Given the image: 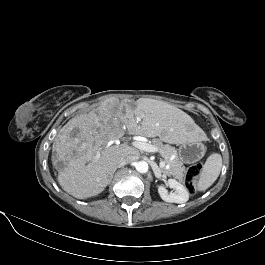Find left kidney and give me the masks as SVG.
<instances>
[{"mask_svg": "<svg viewBox=\"0 0 265 265\" xmlns=\"http://www.w3.org/2000/svg\"><path fill=\"white\" fill-rule=\"evenodd\" d=\"M167 185L174 190L168 193L165 187L159 186L158 192L162 200L170 203H185L189 199L188 189L175 179H168Z\"/></svg>", "mask_w": 265, "mask_h": 265, "instance_id": "5707ae66", "label": "left kidney"}]
</instances>
